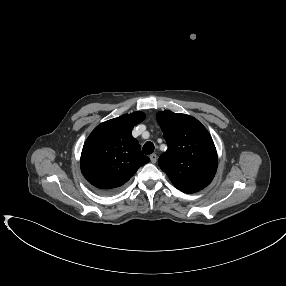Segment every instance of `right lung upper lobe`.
I'll use <instances>...</instances> for the list:
<instances>
[{
    "mask_svg": "<svg viewBox=\"0 0 286 286\" xmlns=\"http://www.w3.org/2000/svg\"><path fill=\"white\" fill-rule=\"evenodd\" d=\"M144 118L143 112L122 115L101 123L87 138L81 154V171L97 190L117 191L150 161L131 134Z\"/></svg>",
    "mask_w": 286,
    "mask_h": 286,
    "instance_id": "obj_1",
    "label": "right lung upper lobe"
}]
</instances>
